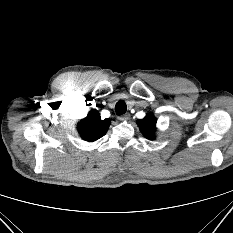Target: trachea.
<instances>
[{
	"label": "trachea",
	"mask_w": 233,
	"mask_h": 233,
	"mask_svg": "<svg viewBox=\"0 0 233 233\" xmlns=\"http://www.w3.org/2000/svg\"><path fill=\"white\" fill-rule=\"evenodd\" d=\"M127 105L124 101H119L115 105V112L117 115H122L126 112Z\"/></svg>",
	"instance_id": "obj_1"
}]
</instances>
